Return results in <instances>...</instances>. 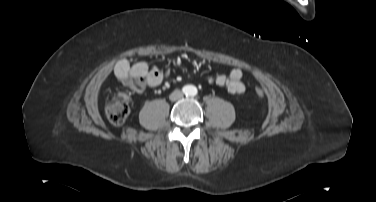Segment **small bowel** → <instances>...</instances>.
Returning <instances> with one entry per match:
<instances>
[{
  "label": "small bowel",
  "mask_w": 376,
  "mask_h": 202,
  "mask_svg": "<svg viewBox=\"0 0 376 202\" xmlns=\"http://www.w3.org/2000/svg\"><path fill=\"white\" fill-rule=\"evenodd\" d=\"M218 64L229 65L227 61L219 60ZM114 76L123 86L140 94L147 88L157 87L167 76V72L160 67H150L146 62H131L120 59L114 66ZM243 71L239 66H234L228 74H216L209 77L208 81L230 92L241 94L245 91L242 83Z\"/></svg>",
  "instance_id": "1"
}]
</instances>
